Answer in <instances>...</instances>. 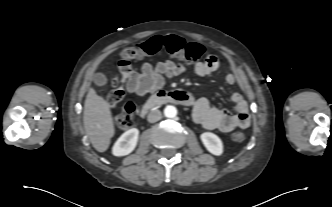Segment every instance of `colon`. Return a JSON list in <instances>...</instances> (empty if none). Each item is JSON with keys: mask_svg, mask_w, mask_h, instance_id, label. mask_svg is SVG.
Here are the masks:
<instances>
[{"mask_svg": "<svg viewBox=\"0 0 332 207\" xmlns=\"http://www.w3.org/2000/svg\"><path fill=\"white\" fill-rule=\"evenodd\" d=\"M165 49L168 54L181 59L189 64L196 63L203 53V48L199 43L186 42L177 35L154 36L149 40L126 48L119 60V74L112 78L109 83L110 91L108 101L112 106H116L124 96V90L121 85L123 74L127 73L130 67V61L145 56L154 55ZM134 105L128 103L122 108L121 114L116 119V127L119 130H126L131 127L133 122ZM234 142H242L245 136L241 132H234L231 135Z\"/></svg>", "mask_w": 332, "mask_h": 207, "instance_id": "obj_1", "label": "colon"}]
</instances>
